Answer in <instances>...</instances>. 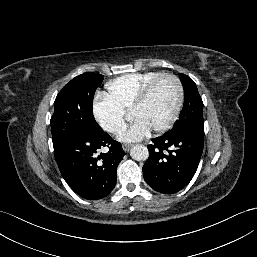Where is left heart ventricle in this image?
Wrapping results in <instances>:
<instances>
[{
    "mask_svg": "<svg viewBox=\"0 0 257 257\" xmlns=\"http://www.w3.org/2000/svg\"><path fill=\"white\" fill-rule=\"evenodd\" d=\"M176 101V84L173 80L165 78L157 84L147 102L131 116L135 120L142 119L153 130L170 118Z\"/></svg>",
    "mask_w": 257,
    "mask_h": 257,
    "instance_id": "left-heart-ventricle-1",
    "label": "left heart ventricle"
}]
</instances>
